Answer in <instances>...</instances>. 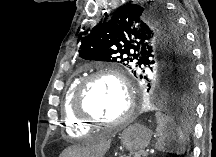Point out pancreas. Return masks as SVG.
<instances>
[{
	"label": "pancreas",
	"instance_id": "pancreas-1",
	"mask_svg": "<svg viewBox=\"0 0 216 157\" xmlns=\"http://www.w3.org/2000/svg\"><path fill=\"white\" fill-rule=\"evenodd\" d=\"M129 157H147V154L144 151H137V152L131 153Z\"/></svg>",
	"mask_w": 216,
	"mask_h": 157
}]
</instances>
